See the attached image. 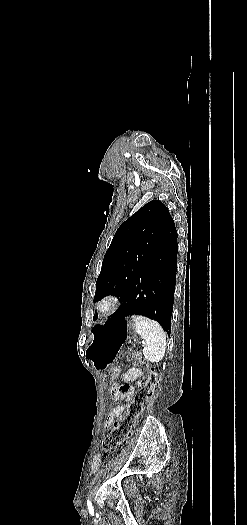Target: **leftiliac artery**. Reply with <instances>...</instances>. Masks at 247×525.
Returning a JSON list of instances; mask_svg holds the SVG:
<instances>
[{"mask_svg":"<svg viewBox=\"0 0 247 525\" xmlns=\"http://www.w3.org/2000/svg\"><path fill=\"white\" fill-rule=\"evenodd\" d=\"M87 506H88V509L90 512L93 511V506H92V503L90 501H87Z\"/></svg>","mask_w":247,"mask_h":525,"instance_id":"44dca946","label":"left iliac artery"}]
</instances>
